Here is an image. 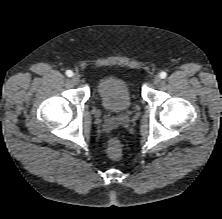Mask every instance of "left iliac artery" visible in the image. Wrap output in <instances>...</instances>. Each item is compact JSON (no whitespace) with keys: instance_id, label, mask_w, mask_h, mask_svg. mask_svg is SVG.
<instances>
[{"instance_id":"left-iliac-artery-1","label":"left iliac artery","mask_w":222,"mask_h":219,"mask_svg":"<svg viewBox=\"0 0 222 219\" xmlns=\"http://www.w3.org/2000/svg\"><path fill=\"white\" fill-rule=\"evenodd\" d=\"M166 76H167V73H166V72L162 71V72L160 73V78L164 79V78H166Z\"/></svg>"}]
</instances>
